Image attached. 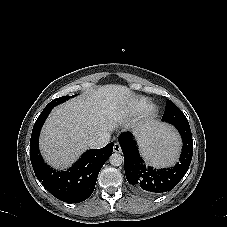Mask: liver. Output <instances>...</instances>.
<instances>
[{
	"label": "liver",
	"instance_id": "liver-1",
	"mask_svg": "<svg viewBox=\"0 0 227 227\" xmlns=\"http://www.w3.org/2000/svg\"><path fill=\"white\" fill-rule=\"evenodd\" d=\"M133 92L122 85H104L54 108L40 136L45 161L54 168L69 167L88 147L91 137L136 121Z\"/></svg>",
	"mask_w": 227,
	"mask_h": 227
}]
</instances>
